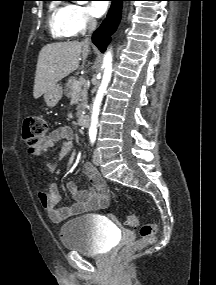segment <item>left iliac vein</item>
Here are the masks:
<instances>
[{"instance_id":"obj_1","label":"left iliac vein","mask_w":216,"mask_h":285,"mask_svg":"<svg viewBox=\"0 0 216 285\" xmlns=\"http://www.w3.org/2000/svg\"><path fill=\"white\" fill-rule=\"evenodd\" d=\"M100 162H101L100 153H99V151L96 149V150L94 151V154H93V163L98 166V165L100 164Z\"/></svg>"}]
</instances>
